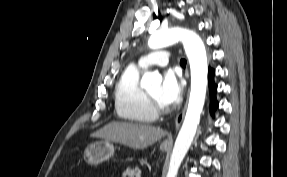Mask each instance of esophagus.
Returning <instances> with one entry per match:
<instances>
[{
  "label": "esophagus",
  "mask_w": 287,
  "mask_h": 177,
  "mask_svg": "<svg viewBox=\"0 0 287 177\" xmlns=\"http://www.w3.org/2000/svg\"><path fill=\"white\" fill-rule=\"evenodd\" d=\"M186 106H187V103H185L184 105V108L182 109V111L177 115L176 117V120H175V126H176V129H178L183 121V118H184V114H185V110H186ZM172 144V139L169 138L167 139L165 142H164V145H171Z\"/></svg>",
  "instance_id": "1"
}]
</instances>
